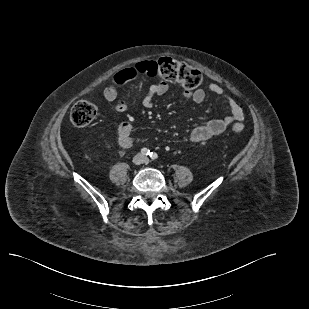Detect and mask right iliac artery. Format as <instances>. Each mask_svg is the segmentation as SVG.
<instances>
[{
  "label": "right iliac artery",
  "mask_w": 309,
  "mask_h": 309,
  "mask_svg": "<svg viewBox=\"0 0 309 309\" xmlns=\"http://www.w3.org/2000/svg\"><path fill=\"white\" fill-rule=\"evenodd\" d=\"M141 154L144 155V156H147V155L150 154V151H149V149H147V148H142V149H141Z\"/></svg>",
  "instance_id": "82829eb1"
}]
</instances>
